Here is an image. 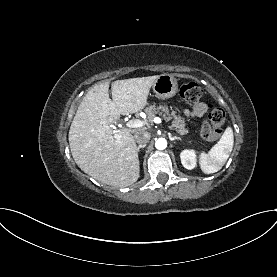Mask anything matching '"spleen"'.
Segmentation results:
<instances>
[{"label":"spleen","mask_w":277,"mask_h":277,"mask_svg":"<svg viewBox=\"0 0 277 277\" xmlns=\"http://www.w3.org/2000/svg\"><path fill=\"white\" fill-rule=\"evenodd\" d=\"M234 145V135L231 127H227L219 141L208 153L200 154V166L204 173L211 174L219 171L227 159Z\"/></svg>","instance_id":"3e777b00"}]
</instances>
